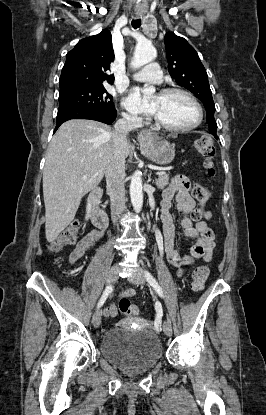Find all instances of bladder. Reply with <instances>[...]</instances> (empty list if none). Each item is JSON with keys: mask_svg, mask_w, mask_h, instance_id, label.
Segmentation results:
<instances>
[{"mask_svg": "<svg viewBox=\"0 0 266 415\" xmlns=\"http://www.w3.org/2000/svg\"><path fill=\"white\" fill-rule=\"evenodd\" d=\"M100 350L106 360L129 374L150 370L163 354L162 343L154 331L121 327H113L104 334Z\"/></svg>", "mask_w": 266, "mask_h": 415, "instance_id": "31cf9c89", "label": "bladder"}]
</instances>
